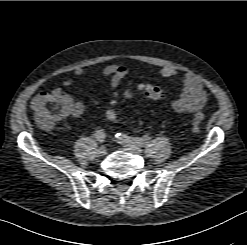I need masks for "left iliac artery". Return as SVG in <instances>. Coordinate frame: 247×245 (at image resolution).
<instances>
[{"mask_svg": "<svg viewBox=\"0 0 247 245\" xmlns=\"http://www.w3.org/2000/svg\"><path fill=\"white\" fill-rule=\"evenodd\" d=\"M115 136L121 142L129 143L132 145H138L141 147L146 145L151 140V136L149 135H145L144 137L141 138V137H130L122 133H117Z\"/></svg>", "mask_w": 247, "mask_h": 245, "instance_id": "left-iliac-artery-1", "label": "left iliac artery"}]
</instances>
